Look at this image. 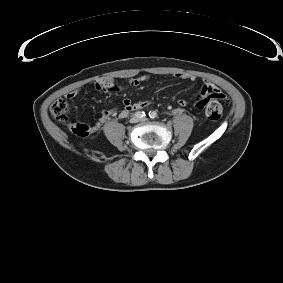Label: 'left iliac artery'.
<instances>
[{
	"instance_id": "1",
	"label": "left iliac artery",
	"mask_w": 283,
	"mask_h": 283,
	"mask_svg": "<svg viewBox=\"0 0 283 283\" xmlns=\"http://www.w3.org/2000/svg\"><path fill=\"white\" fill-rule=\"evenodd\" d=\"M149 117H150L151 119H155V118L157 117V113H156L155 111H150V112H149Z\"/></svg>"
}]
</instances>
